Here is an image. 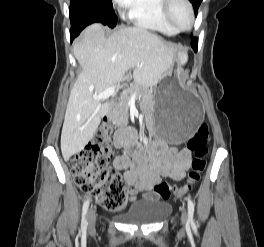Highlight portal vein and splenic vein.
I'll use <instances>...</instances> for the list:
<instances>
[{
    "instance_id": "obj_1",
    "label": "portal vein and splenic vein",
    "mask_w": 264,
    "mask_h": 247,
    "mask_svg": "<svg viewBox=\"0 0 264 247\" xmlns=\"http://www.w3.org/2000/svg\"><path fill=\"white\" fill-rule=\"evenodd\" d=\"M119 88H120V84L119 83L116 84V85H113V86L107 88L106 90H104L102 93H100L98 95H94L93 96V99H95V100H105V99H108Z\"/></svg>"
}]
</instances>
